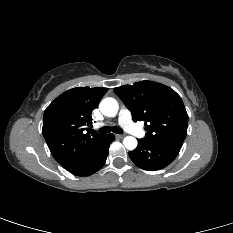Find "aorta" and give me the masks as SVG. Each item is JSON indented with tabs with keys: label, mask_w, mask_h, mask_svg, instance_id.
Returning a JSON list of instances; mask_svg holds the SVG:
<instances>
[{
	"label": "aorta",
	"mask_w": 233,
	"mask_h": 233,
	"mask_svg": "<svg viewBox=\"0 0 233 233\" xmlns=\"http://www.w3.org/2000/svg\"><path fill=\"white\" fill-rule=\"evenodd\" d=\"M99 109L103 115L115 117L118 113L119 105L117 100L108 97L100 102ZM123 144L128 150H134L137 147V139L132 136H126L123 140Z\"/></svg>",
	"instance_id": "obj_1"
}]
</instances>
